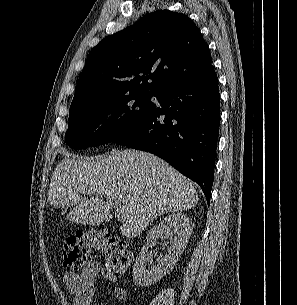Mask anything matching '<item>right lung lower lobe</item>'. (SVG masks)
Masks as SVG:
<instances>
[{"label": "right lung lower lobe", "instance_id": "obj_1", "mask_svg": "<svg viewBox=\"0 0 297 305\" xmlns=\"http://www.w3.org/2000/svg\"><path fill=\"white\" fill-rule=\"evenodd\" d=\"M161 107L111 142L153 153L195 181L210 202L220 123L215 70L202 79L162 89Z\"/></svg>", "mask_w": 297, "mask_h": 305}]
</instances>
